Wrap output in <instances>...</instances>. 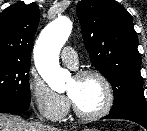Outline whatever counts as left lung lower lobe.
I'll list each match as a JSON object with an SVG mask.
<instances>
[{
	"label": "left lung lower lobe",
	"mask_w": 147,
	"mask_h": 131,
	"mask_svg": "<svg viewBox=\"0 0 147 131\" xmlns=\"http://www.w3.org/2000/svg\"><path fill=\"white\" fill-rule=\"evenodd\" d=\"M102 119H126L136 122L147 129V113L136 112V111H124L117 113H109Z\"/></svg>",
	"instance_id": "0a47b994"
}]
</instances>
